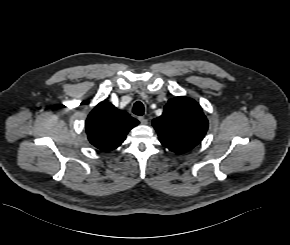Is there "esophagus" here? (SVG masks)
Wrapping results in <instances>:
<instances>
[{
  "label": "esophagus",
  "mask_w": 290,
  "mask_h": 245,
  "mask_svg": "<svg viewBox=\"0 0 290 245\" xmlns=\"http://www.w3.org/2000/svg\"><path fill=\"white\" fill-rule=\"evenodd\" d=\"M138 119L141 122V124L146 125L148 123V120L145 117H139Z\"/></svg>",
  "instance_id": "34e87169"
}]
</instances>
